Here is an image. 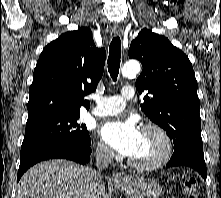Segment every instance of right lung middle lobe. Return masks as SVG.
I'll use <instances>...</instances> for the list:
<instances>
[{"label": "right lung middle lobe", "instance_id": "right-lung-middle-lobe-1", "mask_svg": "<svg viewBox=\"0 0 221 198\" xmlns=\"http://www.w3.org/2000/svg\"><path fill=\"white\" fill-rule=\"evenodd\" d=\"M80 113L52 114L26 123L21 154L43 143L70 141L79 144L91 142L84 124L77 122Z\"/></svg>", "mask_w": 221, "mask_h": 198}]
</instances>
